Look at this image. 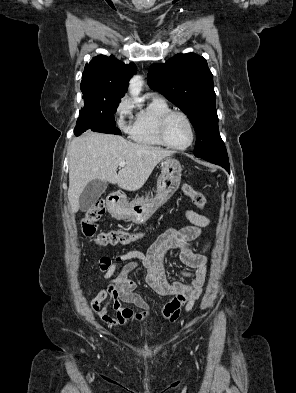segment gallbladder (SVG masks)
I'll use <instances>...</instances> for the list:
<instances>
[{
  "mask_svg": "<svg viewBox=\"0 0 296 393\" xmlns=\"http://www.w3.org/2000/svg\"><path fill=\"white\" fill-rule=\"evenodd\" d=\"M107 182L94 179L90 181L84 188L83 192L79 198V208L81 211L85 212L91 209L95 203L98 201L100 196L107 189Z\"/></svg>",
  "mask_w": 296,
  "mask_h": 393,
  "instance_id": "bac80fb5",
  "label": "gallbladder"
}]
</instances>
